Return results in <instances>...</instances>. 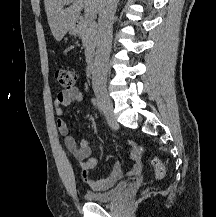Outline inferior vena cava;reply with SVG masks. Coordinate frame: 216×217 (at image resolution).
<instances>
[{"instance_id": "obj_1", "label": "inferior vena cava", "mask_w": 216, "mask_h": 217, "mask_svg": "<svg viewBox=\"0 0 216 217\" xmlns=\"http://www.w3.org/2000/svg\"><path fill=\"white\" fill-rule=\"evenodd\" d=\"M117 0H103L98 19V41L92 72L93 88L106 86L108 59L112 43V28Z\"/></svg>"}]
</instances>
